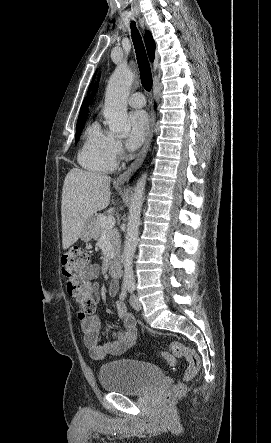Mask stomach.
I'll return each mask as SVG.
<instances>
[{"instance_id": "1", "label": "stomach", "mask_w": 271, "mask_h": 443, "mask_svg": "<svg viewBox=\"0 0 271 443\" xmlns=\"http://www.w3.org/2000/svg\"><path fill=\"white\" fill-rule=\"evenodd\" d=\"M94 222V216H91V218H88L87 222L84 223L83 233L81 235V239H83V241H90V239H92L94 233Z\"/></svg>"}]
</instances>
